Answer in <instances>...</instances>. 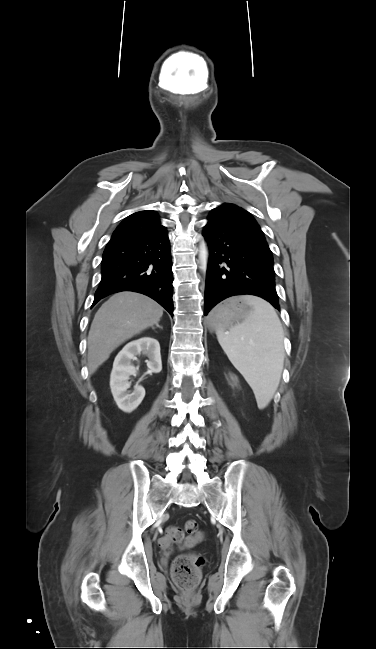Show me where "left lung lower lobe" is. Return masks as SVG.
Returning <instances> with one entry per match:
<instances>
[{
    "label": "left lung lower lobe",
    "instance_id": "obj_1",
    "mask_svg": "<svg viewBox=\"0 0 376 649\" xmlns=\"http://www.w3.org/2000/svg\"><path fill=\"white\" fill-rule=\"evenodd\" d=\"M203 235L209 247L204 315L234 295H256L280 310L273 256L265 237L209 215Z\"/></svg>",
    "mask_w": 376,
    "mask_h": 649
}]
</instances>
